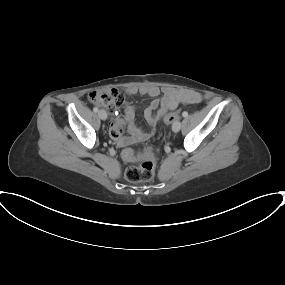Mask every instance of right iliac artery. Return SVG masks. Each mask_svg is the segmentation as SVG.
<instances>
[{"label":"right iliac artery","mask_w":285,"mask_h":285,"mask_svg":"<svg viewBox=\"0 0 285 285\" xmlns=\"http://www.w3.org/2000/svg\"><path fill=\"white\" fill-rule=\"evenodd\" d=\"M93 111H94V112H98V108H97V107H94V108H93Z\"/></svg>","instance_id":"obj_1"}]
</instances>
